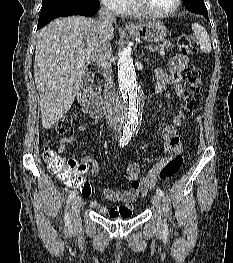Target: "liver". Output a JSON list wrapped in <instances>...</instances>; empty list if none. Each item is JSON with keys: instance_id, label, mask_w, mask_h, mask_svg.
Instances as JSON below:
<instances>
[{"instance_id": "obj_1", "label": "liver", "mask_w": 233, "mask_h": 263, "mask_svg": "<svg viewBox=\"0 0 233 263\" xmlns=\"http://www.w3.org/2000/svg\"><path fill=\"white\" fill-rule=\"evenodd\" d=\"M113 37L112 27L109 40ZM99 44L98 21L83 16L57 18L37 33L34 78L43 128H51L69 111Z\"/></svg>"}]
</instances>
